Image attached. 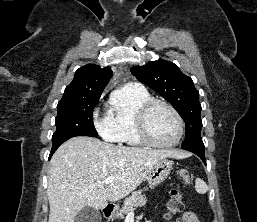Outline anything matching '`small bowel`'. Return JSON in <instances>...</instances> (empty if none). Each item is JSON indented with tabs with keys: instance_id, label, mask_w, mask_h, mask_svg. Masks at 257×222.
<instances>
[{
	"instance_id": "small-bowel-1",
	"label": "small bowel",
	"mask_w": 257,
	"mask_h": 222,
	"mask_svg": "<svg viewBox=\"0 0 257 222\" xmlns=\"http://www.w3.org/2000/svg\"><path fill=\"white\" fill-rule=\"evenodd\" d=\"M181 222H200L196 215L192 212L185 211L182 213Z\"/></svg>"
}]
</instances>
